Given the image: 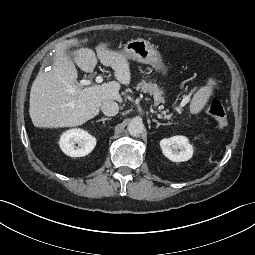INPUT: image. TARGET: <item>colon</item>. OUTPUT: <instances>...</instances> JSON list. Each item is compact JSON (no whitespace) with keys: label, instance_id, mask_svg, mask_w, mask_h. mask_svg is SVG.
Here are the masks:
<instances>
[{"label":"colon","instance_id":"obj_1","mask_svg":"<svg viewBox=\"0 0 255 255\" xmlns=\"http://www.w3.org/2000/svg\"><path fill=\"white\" fill-rule=\"evenodd\" d=\"M206 109L213 116L219 128L223 129L228 124V117L225 109L223 108L220 100L210 95L206 101Z\"/></svg>","mask_w":255,"mask_h":255}]
</instances>
